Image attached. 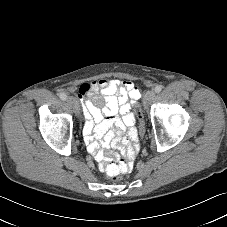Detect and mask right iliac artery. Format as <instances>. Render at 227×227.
Masks as SVG:
<instances>
[{"label":"right iliac artery","instance_id":"1","mask_svg":"<svg viewBox=\"0 0 227 227\" xmlns=\"http://www.w3.org/2000/svg\"><path fill=\"white\" fill-rule=\"evenodd\" d=\"M59 97L61 100L65 101L67 99V95L65 93H60Z\"/></svg>","mask_w":227,"mask_h":227}]
</instances>
